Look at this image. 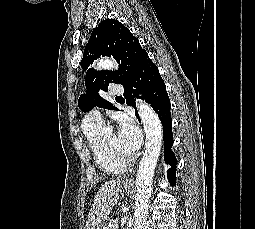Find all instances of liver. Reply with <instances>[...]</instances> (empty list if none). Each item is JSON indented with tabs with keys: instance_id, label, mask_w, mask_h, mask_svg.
<instances>
[{
	"instance_id": "obj_1",
	"label": "liver",
	"mask_w": 255,
	"mask_h": 229,
	"mask_svg": "<svg viewBox=\"0 0 255 229\" xmlns=\"http://www.w3.org/2000/svg\"><path fill=\"white\" fill-rule=\"evenodd\" d=\"M120 188V180H110L100 187L90 208L85 229H89L107 218L118 202Z\"/></svg>"
}]
</instances>
